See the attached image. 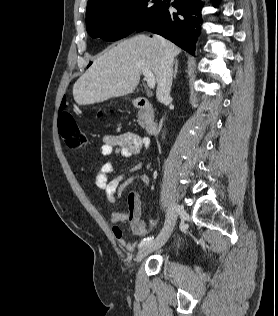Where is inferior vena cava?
Returning <instances> with one entry per match:
<instances>
[{
  "instance_id": "obj_1",
  "label": "inferior vena cava",
  "mask_w": 278,
  "mask_h": 316,
  "mask_svg": "<svg viewBox=\"0 0 278 316\" xmlns=\"http://www.w3.org/2000/svg\"><path fill=\"white\" fill-rule=\"evenodd\" d=\"M161 42L165 45L164 39L158 37ZM174 56L171 51L166 47L164 56L161 61L160 77L158 81L156 96L158 101L164 103L170 100V91L172 86V67H173Z\"/></svg>"
}]
</instances>
